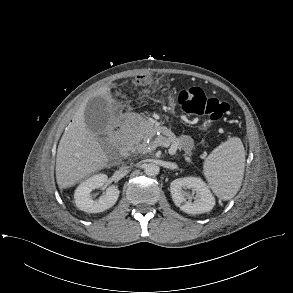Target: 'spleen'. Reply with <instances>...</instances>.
Segmentation results:
<instances>
[{
    "label": "spleen",
    "instance_id": "spleen-1",
    "mask_svg": "<svg viewBox=\"0 0 293 293\" xmlns=\"http://www.w3.org/2000/svg\"><path fill=\"white\" fill-rule=\"evenodd\" d=\"M245 168V150L240 138L221 143L206 158L204 176L217 197L229 200L238 192Z\"/></svg>",
    "mask_w": 293,
    "mask_h": 293
}]
</instances>
